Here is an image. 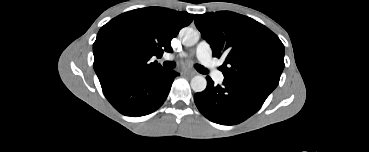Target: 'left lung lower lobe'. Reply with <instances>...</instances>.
<instances>
[{"mask_svg":"<svg viewBox=\"0 0 369 152\" xmlns=\"http://www.w3.org/2000/svg\"><path fill=\"white\" fill-rule=\"evenodd\" d=\"M207 87L194 95L198 110L210 121L222 125L243 122L263 105L272 91L265 88L224 80L222 85L214 86L207 77Z\"/></svg>","mask_w":369,"mask_h":152,"instance_id":"0a47b994","label":"left lung lower lobe"}]
</instances>
